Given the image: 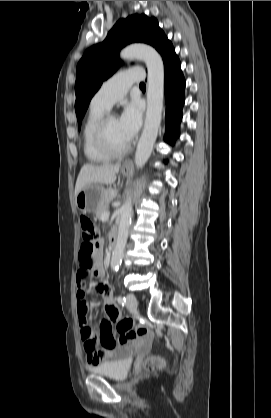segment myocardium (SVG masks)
<instances>
[{"label": "myocardium", "mask_w": 271, "mask_h": 418, "mask_svg": "<svg viewBox=\"0 0 271 418\" xmlns=\"http://www.w3.org/2000/svg\"><path fill=\"white\" fill-rule=\"evenodd\" d=\"M116 117L112 113H106L96 125L94 130V143L99 151L110 156L119 157L126 154L130 150V143L128 142L121 148H115L111 145L108 139V125L112 118Z\"/></svg>", "instance_id": "obj_1"}]
</instances>
